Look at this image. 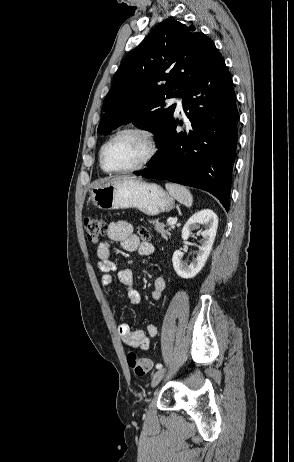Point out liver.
<instances>
[{
  "label": "liver",
  "instance_id": "liver-1",
  "mask_svg": "<svg viewBox=\"0 0 294 462\" xmlns=\"http://www.w3.org/2000/svg\"><path fill=\"white\" fill-rule=\"evenodd\" d=\"M119 178H127V177H119ZM131 178H135V177H131ZM116 179H118V178H116Z\"/></svg>",
  "mask_w": 294,
  "mask_h": 462
}]
</instances>
